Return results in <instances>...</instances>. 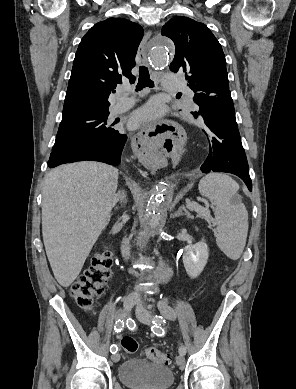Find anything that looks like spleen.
I'll return each mask as SVG.
<instances>
[{
	"label": "spleen",
	"mask_w": 296,
	"mask_h": 389,
	"mask_svg": "<svg viewBox=\"0 0 296 389\" xmlns=\"http://www.w3.org/2000/svg\"><path fill=\"white\" fill-rule=\"evenodd\" d=\"M202 196L215 204L218 247L232 260L243 253L248 233V212L237 197L239 185L228 175L210 173L198 185Z\"/></svg>",
	"instance_id": "1"
}]
</instances>
